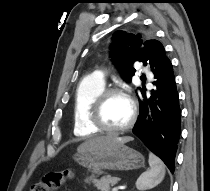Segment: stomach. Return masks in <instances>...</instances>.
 Segmentation results:
<instances>
[{
  "label": "stomach",
  "instance_id": "obj_1",
  "mask_svg": "<svg viewBox=\"0 0 210 191\" xmlns=\"http://www.w3.org/2000/svg\"><path fill=\"white\" fill-rule=\"evenodd\" d=\"M74 159L79 165L95 173L101 170H136L145 165L144 156L124 144L78 151Z\"/></svg>",
  "mask_w": 210,
  "mask_h": 191
}]
</instances>
